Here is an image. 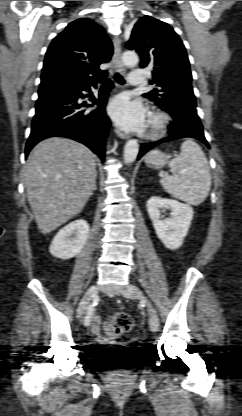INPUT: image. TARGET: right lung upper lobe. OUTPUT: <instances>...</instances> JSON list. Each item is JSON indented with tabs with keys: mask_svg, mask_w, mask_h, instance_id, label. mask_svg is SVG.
<instances>
[{
	"mask_svg": "<svg viewBox=\"0 0 242 416\" xmlns=\"http://www.w3.org/2000/svg\"><path fill=\"white\" fill-rule=\"evenodd\" d=\"M112 53L103 27L88 19L70 23L46 52L38 94L96 83L105 75L99 65L108 62Z\"/></svg>",
	"mask_w": 242,
	"mask_h": 416,
	"instance_id": "obj_1",
	"label": "right lung upper lobe"
}]
</instances>
